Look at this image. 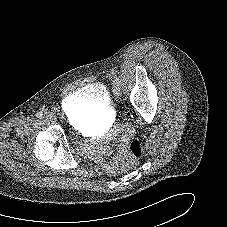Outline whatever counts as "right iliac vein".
<instances>
[{"label":"right iliac vein","instance_id":"63e3f726","mask_svg":"<svg viewBox=\"0 0 227 227\" xmlns=\"http://www.w3.org/2000/svg\"><path fill=\"white\" fill-rule=\"evenodd\" d=\"M47 118H48V119H54L55 116H54V114H47Z\"/></svg>","mask_w":227,"mask_h":227}]
</instances>
